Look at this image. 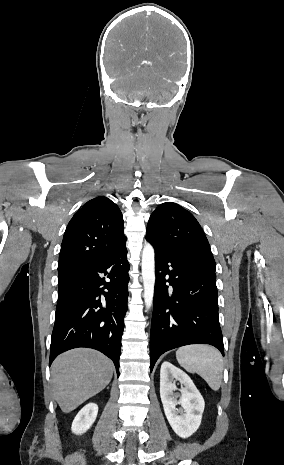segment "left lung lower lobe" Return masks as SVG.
Masks as SVG:
<instances>
[{
    "mask_svg": "<svg viewBox=\"0 0 284 465\" xmlns=\"http://www.w3.org/2000/svg\"><path fill=\"white\" fill-rule=\"evenodd\" d=\"M153 247L156 283L150 333L151 371L164 352L188 344H210L224 355L215 271Z\"/></svg>",
    "mask_w": 284,
    "mask_h": 465,
    "instance_id": "1",
    "label": "left lung lower lobe"
}]
</instances>
